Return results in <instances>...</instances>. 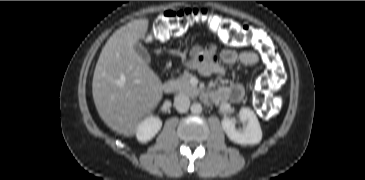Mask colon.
I'll list each match as a JSON object with an SVG mask.
<instances>
[{"label":"colon","mask_w":365,"mask_h":180,"mask_svg":"<svg viewBox=\"0 0 365 180\" xmlns=\"http://www.w3.org/2000/svg\"><path fill=\"white\" fill-rule=\"evenodd\" d=\"M206 24L211 32L220 40L232 47L253 45L255 31L250 27H236L222 16L205 9L181 8L162 11L156 18L152 28L146 34V41L162 43L171 38L185 35L192 27ZM259 53L267 60L269 69L260 80V88L256 93L258 102L267 106V113L273 115L278 104L269 97L278 90L284 80L283 70L273 50L264 45Z\"/></svg>","instance_id":"colon-1"}]
</instances>
